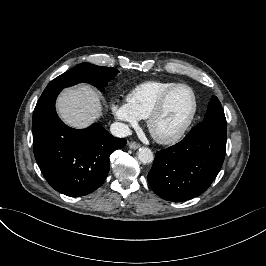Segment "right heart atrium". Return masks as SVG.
Wrapping results in <instances>:
<instances>
[{"label": "right heart atrium", "instance_id": "d8ad5b80", "mask_svg": "<svg viewBox=\"0 0 266 266\" xmlns=\"http://www.w3.org/2000/svg\"><path fill=\"white\" fill-rule=\"evenodd\" d=\"M111 110L115 117L131 126L136 125L139 121V118L127 102L117 103L116 101H113L111 103Z\"/></svg>", "mask_w": 266, "mask_h": 266}]
</instances>
